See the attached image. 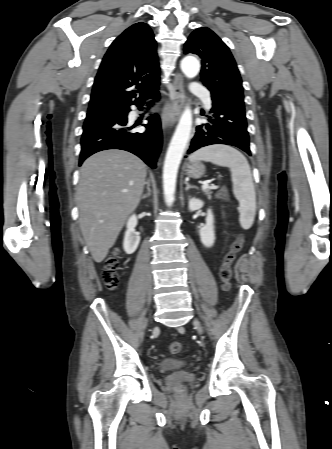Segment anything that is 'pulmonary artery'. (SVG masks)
I'll return each mask as SVG.
<instances>
[{"label":"pulmonary artery","mask_w":332,"mask_h":449,"mask_svg":"<svg viewBox=\"0 0 332 449\" xmlns=\"http://www.w3.org/2000/svg\"><path fill=\"white\" fill-rule=\"evenodd\" d=\"M191 92L203 100L204 105L207 109L211 108L212 104L209 96V91L205 87L194 84L191 88Z\"/></svg>","instance_id":"e3ab8cb5"}]
</instances>
